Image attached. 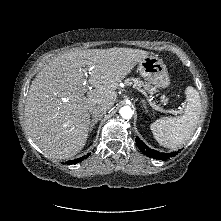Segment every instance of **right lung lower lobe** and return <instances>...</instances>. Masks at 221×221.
<instances>
[{"instance_id": "1", "label": "right lung lower lobe", "mask_w": 221, "mask_h": 221, "mask_svg": "<svg viewBox=\"0 0 221 221\" xmlns=\"http://www.w3.org/2000/svg\"><path fill=\"white\" fill-rule=\"evenodd\" d=\"M88 155H89V154H87L86 156H83V157L74 159V160H72V161H67V164H68V165H71V164L79 163V162L83 161L84 159H86V158L88 157Z\"/></svg>"}]
</instances>
